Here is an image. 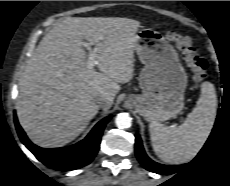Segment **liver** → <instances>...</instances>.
Here are the masks:
<instances>
[{"label":"liver","instance_id":"obj_1","mask_svg":"<svg viewBox=\"0 0 230 186\" xmlns=\"http://www.w3.org/2000/svg\"><path fill=\"white\" fill-rule=\"evenodd\" d=\"M140 22L119 17H68L40 41L20 79L16 102L20 125L43 148L78 137L104 95L109 109L121 83L133 78ZM85 39L94 45L97 68L87 67Z\"/></svg>","mask_w":230,"mask_h":186}]
</instances>
